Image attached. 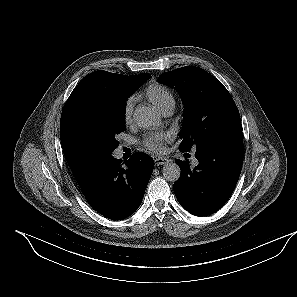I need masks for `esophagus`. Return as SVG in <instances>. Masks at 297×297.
Wrapping results in <instances>:
<instances>
[{
    "mask_svg": "<svg viewBox=\"0 0 297 297\" xmlns=\"http://www.w3.org/2000/svg\"><path fill=\"white\" fill-rule=\"evenodd\" d=\"M170 160L164 157H158L155 159V165L160 166L168 163Z\"/></svg>",
    "mask_w": 297,
    "mask_h": 297,
    "instance_id": "obj_1",
    "label": "esophagus"
}]
</instances>
